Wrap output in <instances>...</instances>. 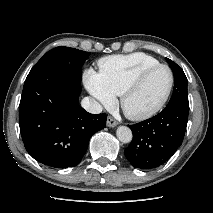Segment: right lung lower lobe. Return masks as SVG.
Returning <instances> with one entry per match:
<instances>
[{"instance_id":"98d812e1","label":"right lung lower lobe","mask_w":213,"mask_h":213,"mask_svg":"<svg viewBox=\"0 0 213 213\" xmlns=\"http://www.w3.org/2000/svg\"><path fill=\"white\" fill-rule=\"evenodd\" d=\"M80 81L58 69L29 73L19 106L27 152L54 168L78 165L91 136L106 126V114H90L78 104Z\"/></svg>"}]
</instances>
